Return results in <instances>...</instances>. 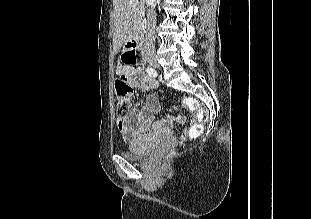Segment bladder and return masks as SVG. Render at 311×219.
Returning a JSON list of instances; mask_svg holds the SVG:
<instances>
[{"mask_svg":"<svg viewBox=\"0 0 311 219\" xmlns=\"http://www.w3.org/2000/svg\"><path fill=\"white\" fill-rule=\"evenodd\" d=\"M151 147L144 146L140 142L130 143L129 148L122 152V156L129 160H139L150 154Z\"/></svg>","mask_w":311,"mask_h":219,"instance_id":"obj_1","label":"bladder"}]
</instances>
